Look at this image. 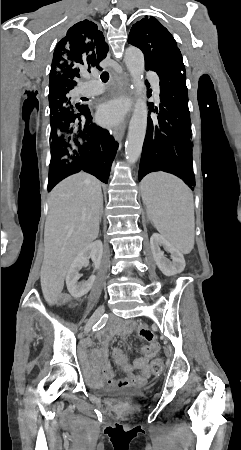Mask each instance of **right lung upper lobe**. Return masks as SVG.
I'll use <instances>...</instances> for the list:
<instances>
[{"label": "right lung upper lobe", "instance_id": "1", "mask_svg": "<svg viewBox=\"0 0 241 450\" xmlns=\"http://www.w3.org/2000/svg\"><path fill=\"white\" fill-rule=\"evenodd\" d=\"M108 44L97 25L84 20L73 25L57 44L50 71L49 101L69 96L84 72L102 68Z\"/></svg>", "mask_w": 241, "mask_h": 450}]
</instances>
